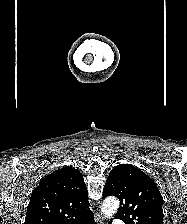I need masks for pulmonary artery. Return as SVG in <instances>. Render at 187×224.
I'll return each mask as SVG.
<instances>
[{
    "instance_id": "e3ab8cb5",
    "label": "pulmonary artery",
    "mask_w": 187,
    "mask_h": 224,
    "mask_svg": "<svg viewBox=\"0 0 187 224\" xmlns=\"http://www.w3.org/2000/svg\"><path fill=\"white\" fill-rule=\"evenodd\" d=\"M113 223H114V224H124V222L121 221V220H115Z\"/></svg>"
}]
</instances>
